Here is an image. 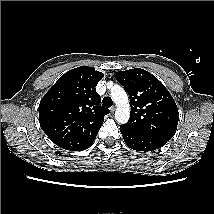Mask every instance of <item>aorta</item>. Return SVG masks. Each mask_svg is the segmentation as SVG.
<instances>
[{"instance_id":"obj_1","label":"aorta","mask_w":214,"mask_h":214,"mask_svg":"<svg viewBox=\"0 0 214 214\" xmlns=\"http://www.w3.org/2000/svg\"><path fill=\"white\" fill-rule=\"evenodd\" d=\"M111 98L117 106L115 111L116 121L120 124L127 123L130 117V105L126 91L119 85H113Z\"/></svg>"}]
</instances>
